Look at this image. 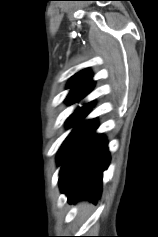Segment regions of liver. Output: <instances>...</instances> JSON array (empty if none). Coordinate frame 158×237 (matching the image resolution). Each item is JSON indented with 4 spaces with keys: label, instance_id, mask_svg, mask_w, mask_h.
Returning a JSON list of instances; mask_svg holds the SVG:
<instances>
[{
    "label": "liver",
    "instance_id": "6515ba94",
    "mask_svg": "<svg viewBox=\"0 0 158 237\" xmlns=\"http://www.w3.org/2000/svg\"><path fill=\"white\" fill-rule=\"evenodd\" d=\"M86 206V203H82V209H84Z\"/></svg>",
    "mask_w": 158,
    "mask_h": 237
}]
</instances>
